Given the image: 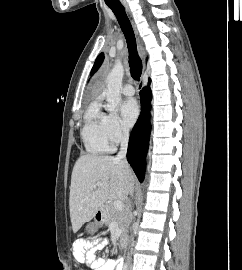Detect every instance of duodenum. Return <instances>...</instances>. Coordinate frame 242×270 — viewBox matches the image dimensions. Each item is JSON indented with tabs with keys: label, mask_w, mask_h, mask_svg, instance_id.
<instances>
[{
	"label": "duodenum",
	"mask_w": 242,
	"mask_h": 270,
	"mask_svg": "<svg viewBox=\"0 0 242 270\" xmlns=\"http://www.w3.org/2000/svg\"><path fill=\"white\" fill-rule=\"evenodd\" d=\"M119 241H120L121 246L124 247L125 244H126V241H127L126 236H125L124 234H122V235L120 236V238H119Z\"/></svg>",
	"instance_id": "obj_1"
}]
</instances>
